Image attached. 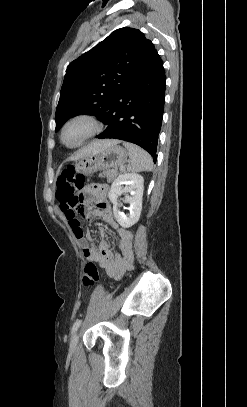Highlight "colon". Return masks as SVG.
I'll use <instances>...</instances> for the list:
<instances>
[{
    "mask_svg": "<svg viewBox=\"0 0 247 407\" xmlns=\"http://www.w3.org/2000/svg\"><path fill=\"white\" fill-rule=\"evenodd\" d=\"M85 178L72 167L65 169L57 179L56 199L60 203L75 202L84 186ZM100 279L96 263L88 262L84 268L82 283L85 287L96 284Z\"/></svg>",
    "mask_w": 247,
    "mask_h": 407,
    "instance_id": "1",
    "label": "colon"
}]
</instances>
